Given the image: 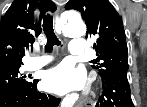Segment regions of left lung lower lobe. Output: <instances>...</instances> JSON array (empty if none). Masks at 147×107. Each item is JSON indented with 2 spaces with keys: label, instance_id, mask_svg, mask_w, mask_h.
<instances>
[{
  "label": "left lung lower lobe",
  "instance_id": "obj_1",
  "mask_svg": "<svg viewBox=\"0 0 147 107\" xmlns=\"http://www.w3.org/2000/svg\"><path fill=\"white\" fill-rule=\"evenodd\" d=\"M103 80V95L95 107H134L127 71H118Z\"/></svg>",
  "mask_w": 147,
  "mask_h": 107
}]
</instances>
